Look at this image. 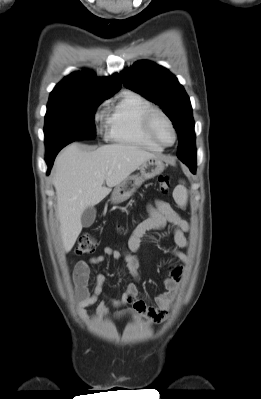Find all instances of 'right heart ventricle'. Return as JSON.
Wrapping results in <instances>:
<instances>
[{"label": "right heart ventricle", "instance_id": "obj_1", "mask_svg": "<svg viewBox=\"0 0 261 399\" xmlns=\"http://www.w3.org/2000/svg\"><path fill=\"white\" fill-rule=\"evenodd\" d=\"M152 107L142 95L133 91L123 92L106 114L107 138L150 151H162L163 148L154 143L143 128L144 114Z\"/></svg>", "mask_w": 261, "mask_h": 399}]
</instances>
